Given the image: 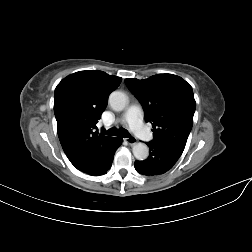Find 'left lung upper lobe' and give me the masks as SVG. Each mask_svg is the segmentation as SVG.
I'll use <instances>...</instances> for the list:
<instances>
[{
	"mask_svg": "<svg viewBox=\"0 0 252 252\" xmlns=\"http://www.w3.org/2000/svg\"><path fill=\"white\" fill-rule=\"evenodd\" d=\"M125 83L141 103L146 122L152 124L153 141L183 151L196 108L190 84L173 74H157L144 80L128 78Z\"/></svg>",
	"mask_w": 252,
	"mask_h": 252,
	"instance_id": "obj_1",
	"label": "left lung upper lobe"
}]
</instances>
